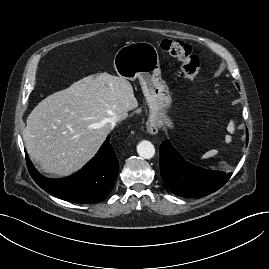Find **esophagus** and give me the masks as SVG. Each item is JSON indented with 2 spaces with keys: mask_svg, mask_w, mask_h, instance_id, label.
<instances>
[{
  "mask_svg": "<svg viewBox=\"0 0 269 269\" xmlns=\"http://www.w3.org/2000/svg\"><path fill=\"white\" fill-rule=\"evenodd\" d=\"M146 129H147V132L151 135H155L158 133V130H159V126H158V123H157V120L152 118V119H149L147 124H146Z\"/></svg>",
  "mask_w": 269,
  "mask_h": 269,
  "instance_id": "34e87169",
  "label": "esophagus"
}]
</instances>
